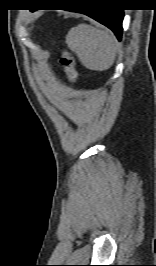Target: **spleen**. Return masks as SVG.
<instances>
[{
	"mask_svg": "<svg viewBox=\"0 0 156 266\" xmlns=\"http://www.w3.org/2000/svg\"><path fill=\"white\" fill-rule=\"evenodd\" d=\"M66 43L87 69L105 71L114 64L117 42L107 29L79 24L68 32Z\"/></svg>",
	"mask_w": 156,
	"mask_h": 266,
	"instance_id": "1",
	"label": "spleen"
}]
</instances>
